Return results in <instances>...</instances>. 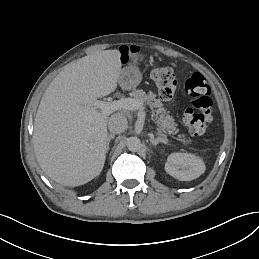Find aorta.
<instances>
[{
    "label": "aorta",
    "instance_id": "aorta-1",
    "mask_svg": "<svg viewBox=\"0 0 259 259\" xmlns=\"http://www.w3.org/2000/svg\"><path fill=\"white\" fill-rule=\"evenodd\" d=\"M127 148L132 152H137L141 149L142 143L138 137H129L127 139Z\"/></svg>",
    "mask_w": 259,
    "mask_h": 259
}]
</instances>
